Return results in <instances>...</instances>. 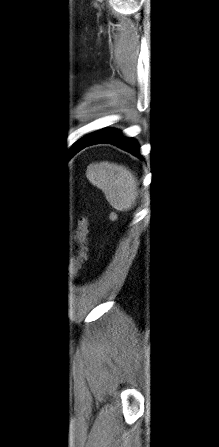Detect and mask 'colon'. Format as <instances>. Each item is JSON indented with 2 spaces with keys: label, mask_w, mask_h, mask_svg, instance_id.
Masks as SVG:
<instances>
[{
  "label": "colon",
  "mask_w": 219,
  "mask_h": 447,
  "mask_svg": "<svg viewBox=\"0 0 219 447\" xmlns=\"http://www.w3.org/2000/svg\"><path fill=\"white\" fill-rule=\"evenodd\" d=\"M89 219L87 215H82L76 226V235L79 240L78 253L75 256L73 262L68 266L65 271V276L69 280H74L77 276L78 270L82 266L86 257L85 239L88 233Z\"/></svg>",
  "instance_id": "5ec220e1"
}]
</instances>
